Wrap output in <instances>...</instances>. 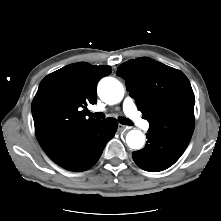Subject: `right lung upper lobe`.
Instances as JSON below:
<instances>
[{"label": "right lung upper lobe", "instance_id": "right-lung-upper-lobe-1", "mask_svg": "<svg viewBox=\"0 0 221 221\" xmlns=\"http://www.w3.org/2000/svg\"><path fill=\"white\" fill-rule=\"evenodd\" d=\"M111 71L110 66L78 62L42 80L32 103V115L37 140L46 154L73 133L98 121L86 118V106L97 103V83Z\"/></svg>", "mask_w": 221, "mask_h": 221}]
</instances>
